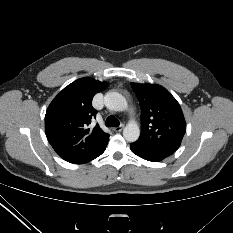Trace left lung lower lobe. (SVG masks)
I'll return each mask as SVG.
<instances>
[{
  "label": "left lung lower lobe",
  "mask_w": 233,
  "mask_h": 233,
  "mask_svg": "<svg viewBox=\"0 0 233 233\" xmlns=\"http://www.w3.org/2000/svg\"><path fill=\"white\" fill-rule=\"evenodd\" d=\"M130 148L132 152L137 156L152 162H159L169 156L168 154L156 151L154 149L145 146L143 143L139 142L138 140L134 143H131Z\"/></svg>",
  "instance_id": "left-lung-lower-lobe-1"
}]
</instances>
